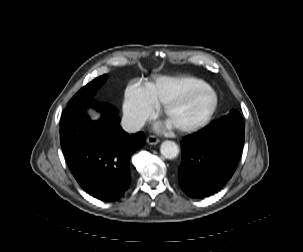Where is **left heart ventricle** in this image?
<instances>
[{"label": "left heart ventricle", "mask_w": 303, "mask_h": 252, "mask_svg": "<svg viewBox=\"0 0 303 252\" xmlns=\"http://www.w3.org/2000/svg\"><path fill=\"white\" fill-rule=\"evenodd\" d=\"M208 104V92L199 91L186 104L176 107L168 117V121L173 126L196 122L203 116Z\"/></svg>", "instance_id": "1"}]
</instances>
